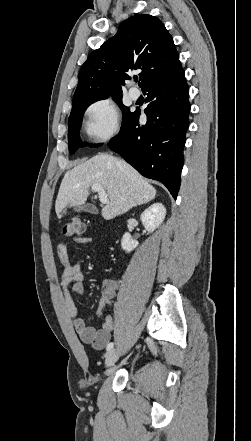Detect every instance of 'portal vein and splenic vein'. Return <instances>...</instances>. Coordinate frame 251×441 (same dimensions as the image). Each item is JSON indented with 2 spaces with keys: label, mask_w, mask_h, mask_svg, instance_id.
Returning a JSON list of instances; mask_svg holds the SVG:
<instances>
[{
  "label": "portal vein and splenic vein",
  "mask_w": 251,
  "mask_h": 441,
  "mask_svg": "<svg viewBox=\"0 0 251 441\" xmlns=\"http://www.w3.org/2000/svg\"><path fill=\"white\" fill-rule=\"evenodd\" d=\"M92 191L97 192L99 195V200L102 204H107L109 202L107 193L100 184H93L91 186Z\"/></svg>",
  "instance_id": "obj_1"
}]
</instances>
